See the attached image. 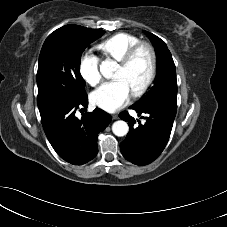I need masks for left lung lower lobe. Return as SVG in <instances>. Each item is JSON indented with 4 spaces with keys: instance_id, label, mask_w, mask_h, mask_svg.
I'll use <instances>...</instances> for the list:
<instances>
[{
    "instance_id": "1",
    "label": "left lung lower lobe",
    "mask_w": 227,
    "mask_h": 227,
    "mask_svg": "<svg viewBox=\"0 0 227 227\" xmlns=\"http://www.w3.org/2000/svg\"><path fill=\"white\" fill-rule=\"evenodd\" d=\"M130 109L135 110L144 121L135 120L127 111L119 114L130 127L125 140L120 144V151L126 160L144 166L152 163L164 150L177 109L160 104Z\"/></svg>"
}]
</instances>
